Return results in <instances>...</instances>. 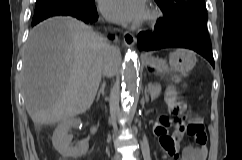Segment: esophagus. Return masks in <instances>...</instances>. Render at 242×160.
I'll list each match as a JSON object with an SVG mask.
<instances>
[{"instance_id": "1", "label": "esophagus", "mask_w": 242, "mask_h": 160, "mask_svg": "<svg viewBox=\"0 0 242 160\" xmlns=\"http://www.w3.org/2000/svg\"><path fill=\"white\" fill-rule=\"evenodd\" d=\"M123 41H124V44L127 46V47H133L136 43V38L135 36L130 33V32H124L123 33Z\"/></svg>"}]
</instances>
